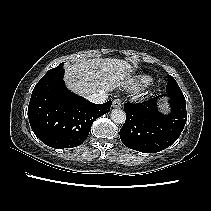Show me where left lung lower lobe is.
Returning a JSON list of instances; mask_svg holds the SVG:
<instances>
[{
    "label": "left lung lower lobe",
    "instance_id": "left-lung-lower-lobe-1",
    "mask_svg": "<svg viewBox=\"0 0 211 211\" xmlns=\"http://www.w3.org/2000/svg\"><path fill=\"white\" fill-rule=\"evenodd\" d=\"M171 113L158 111L156 98L143 103L124 105L126 122L120 130L122 143L133 150L156 153L172 145L180 136L187 119L182 92L169 94Z\"/></svg>",
    "mask_w": 211,
    "mask_h": 211
}]
</instances>
